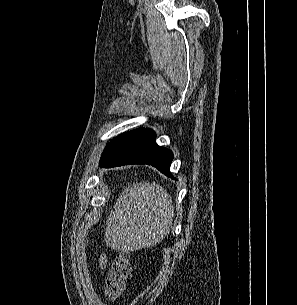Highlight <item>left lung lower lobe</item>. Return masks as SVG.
Returning a JSON list of instances; mask_svg holds the SVG:
<instances>
[{
	"label": "left lung lower lobe",
	"mask_w": 297,
	"mask_h": 305,
	"mask_svg": "<svg viewBox=\"0 0 297 305\" xmlns=\"http://www.w3.org/2000/svg\"><path fill=\"white\" fill-rule=\"evenodd\" d=\"M156 134L148 128L123 133L108 143L101 159V167L128 164H148L156 167L164 175L174 178L170 172L173 154L157 145Z\"/></svg>",
	"instance_id": "0a47b994"
}]
</instances>
